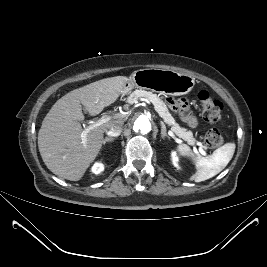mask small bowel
Segmentation results:
<instances>
[{
  "label": "small bowel",
  "instance_id": "c3829d8e",
  "mask_svg": "<svg viewBox=\"0 0 267 267\" xmlns=\"http://www.w3.org/2000/svg\"><path fill=\"white\" fill-rule=\"evenodd\" d=\"M167 103L173 110L186 113L185 101L177 100L173 97H167ZM186 118H187L188 122L190 123V125H192V126L196 125V120L193 116L186 114Z\"/></svg>",
  "mask_w": 267,
  "mask_h": 267
}]
</instances>
